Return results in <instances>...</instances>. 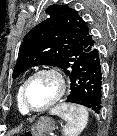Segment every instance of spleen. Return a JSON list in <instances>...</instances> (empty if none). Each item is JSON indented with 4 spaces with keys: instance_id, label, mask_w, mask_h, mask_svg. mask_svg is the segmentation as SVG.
<instances>
[{
    "instance_id": "1",
    "label": "spleen",
    "mask_w": 117,
    "mask_h": 136,
    "mask_svg": "<svg viewBox=\"0 0 117 136\" xmlns=\"http://www.w3.org/2000/svg\"><path fill=\"white\" fill-rule=\"evenodd\" d=\"M50 113L66 121L64 136H78L88 122V111L81 105L62 103L52 108Z\"/></svg>"
}]
</instances>
